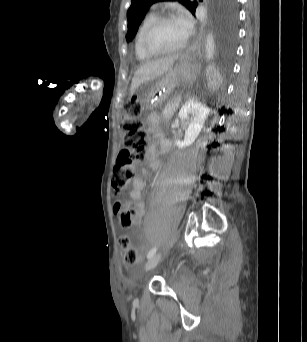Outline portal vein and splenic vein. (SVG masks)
I'll return each instance as SVG.
<instances>
[{
	"label": "portal vein and splenic vein",
	"instance_id": "obj_1",
	"mask_svg": "<svg viewBox=\"0 0 307 342\" xmlns=\"http://www.w3.org/2000/svg\"><path fill=\"white\" fill-rule=\"evenodd\" d=\"M173 108H174V109H178V108H179V105H178V104H174V105H173Z\"/></svg>",
	"mask_w": 307,
	"mask_h": 342
}]
</instances>
